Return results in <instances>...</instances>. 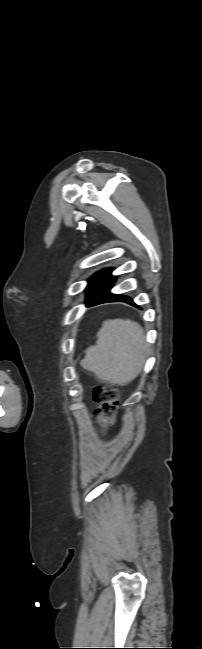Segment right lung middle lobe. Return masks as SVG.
I'll return each instance as SVG.
<instances>
[{"instance_id": "1", "label": "right lung middle lobe", "mask_w": 202, "mask_h": 649, "mask_svg": "<svg viewBox=\"0 0 202 649\" xmlns=\"http://www.w3.org/2000/svg\"><path fill=\"white\" fill-rule=\"evenodd\" d=\"M101 272H102V271L97 272L95 275H93V276L88 280V282L90 283V282H91L94 278H96V277H97Z\"/></svg>"}]
</instances>
